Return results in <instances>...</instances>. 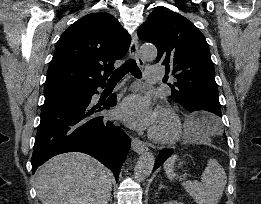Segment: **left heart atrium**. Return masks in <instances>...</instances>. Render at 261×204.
Returning a JSON list of instances; mask_svg holds the SVG:
<instances>
[{
	"instance_id": "left-heart-atrium-1",
	"label": "left heart atrium",
	"mask_w": 261,
	"mask_h": 204,
	"mask_svg": "<svg viewBox=\"0 0 261 204\" xmlns=\"http://www.w3.org/2000/svg\"><path fill=\"white\" fill-rule=\"evenodd\" d=\"M116 114L127 125L138 130L152 129L157 117L150 100L139 94L126 97L117 107Z\"/></svg>"
}]
</instances>
